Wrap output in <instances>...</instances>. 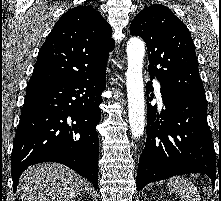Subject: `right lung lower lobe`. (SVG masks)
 Instances as JSON below:
<instances>
[{
    "label": "right lung lower lobe",
    "instance_id": "right-lung-lower-lobe-1",
    "mask_svg": "<svg viewBox=\"0 0 221 201\" xmlns=\"http://www.w3.org/2000/svg\"><path fill=\"white\" fill-rule=\"evenodd\" d=\"M106 72L60 83H28L11 156L13 191L21 173L39 162L64 164L98 186L96 125Z\"/></svg>",
    "mask_w": 221,
    "mask_h": 201
}]
</instances>
